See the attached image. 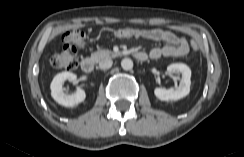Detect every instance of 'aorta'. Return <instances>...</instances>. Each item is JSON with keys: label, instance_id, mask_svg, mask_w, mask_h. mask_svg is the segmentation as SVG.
I'll return each instance as SVG.
<instances>
[{"label": "aorta", "instance_id": "1", "mask_svg": "<svg viewBox=\"0 0 244 157\" xmlns=\"http://www.w3.org/2000/svg\"><path fill=\"white\" fill-rule=\"evenodd\" d=\"M121 67L124 70H131L133 68V61L130 58H124L121 61Z\"/></svg>", "mask_w": 244, "mask_h": 157}]
</instances>
